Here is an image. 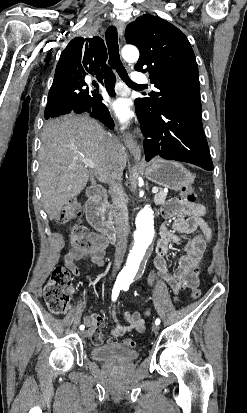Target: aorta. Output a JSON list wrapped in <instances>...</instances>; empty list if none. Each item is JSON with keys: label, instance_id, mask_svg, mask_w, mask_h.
<instances>
[{"label": "aorta", "instance_id": "762f6f07", "mask_svg": "<svg viewBox=\"0 0 247 413\" xmlns=\"http://www.w3.org/2000/svg\"><path fill=\"white\" fill-rule=\"evenodd\" d=\"M122 56L127 62H136L139 59V51L135 46L126 45L122 49ZM136 226L135 245L124 270V275L127 278L135 275L138 271L146 249L154 235V216L150 205H145L139 212L136 217Z\"/></svg>", "mask_w": 247, "mask_h": 413}]
</instances>
